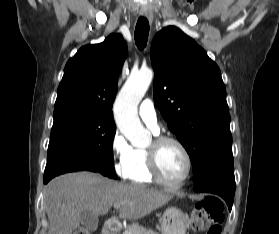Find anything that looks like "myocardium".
<instances>
[{
    "instance_id": "obj_1",
    "label": "myocardium",
    "mask_w": 279,
    "mask_h": 234,
    "mask_svg": "<svg viewBox=\"0 0 279 234\" xmlns=\"http://www.w3.org/2000/svg\"><path fill=\"white\" fill-rule=\"evenodd\" d=\"M167 143H172V144H175L176 146H178L180 148V150L182 151V153L184 154L185 159H186L185 174L177 182H170V181L166 180L163 177L160 167H159L160 150H161L162 146ZM147 154H148L149 171H150L154 181H156L157 183H159L165 187L171 188V189H178V188L182 187L190 178L192 170H193V159H192V156H191L188 148L186 147V145L179 139L172 137V136H166V135L157 136L153 140L152 144L147 148Z\"/></svg>"
}]
</instances>
